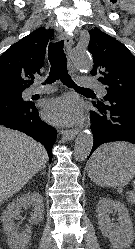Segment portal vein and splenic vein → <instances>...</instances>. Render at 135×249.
<instances>
[{"instance_id":"obj_1","label":"portal vein and splenic vein","mask_w":135,"mask_h":249,"mask_svg":"<svg viewBox=\"0 0 135 249\" xmlns=\"http://www.w3.org/2000/svg\"><path fill=\"white\" fill-rule=\"evenodd\" d=\"M127 194H128L129 196L135 195L133 192H127Z\"/></svg>"}]
</instances>
